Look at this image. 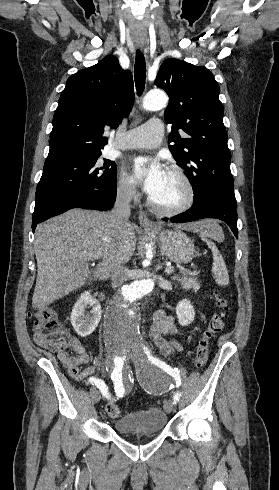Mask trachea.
<instances>
[{
	"label": "trachea",
	"instance_id": "3493384b",
	"mask_svg": "<svg viewBox=\"0 0 279 490\" xmlns=\"http://www.w3.org/2000/svg\"><path fill=\"white\" fill-rule=\"evenodd\" d=\"M134 76L137 93L141 95L145 88L146 62L144 55L139 50L136 53Z\"/></svg>",
	"mask_w": 279,
	"mask_h": 490
}]
</instances>
